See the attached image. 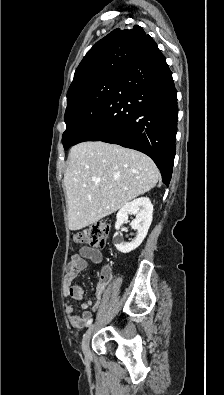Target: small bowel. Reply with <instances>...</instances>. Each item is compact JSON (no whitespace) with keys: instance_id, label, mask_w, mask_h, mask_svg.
<instances>
[{"instance_id":"c3829d8e","label":"small bowel","mask_w":224,"mask_h":395,"mask_svg":"<svg viewBox=\"0 0 224 395\" xmlns=\"http://www.w3.org/2000/svg\"><path fill=\"white\" fill-rule=\"evenodd\" d=\"M102 260L103 256L101 251L92 247H82L80 250V254L71 257L70 261L65 267V294L67 297L77 301L83 300V290L81 286L77 283H73V281L79 276L81 271L87 269L89 261L100 264ZM111 278V270H104L96 285V292L94 298L81 304L83 312L80 315L75 313L74 305L70 301L67 302L66 313L70 324L74 328H82L87 323V321L91 319L92 314L87 309L89 307H91L92 310L97 309L99 298L101 297V294L104 292Z\"/></svg>"}]
</instances>
